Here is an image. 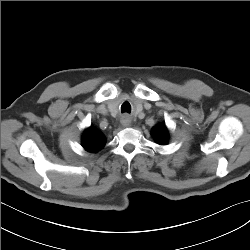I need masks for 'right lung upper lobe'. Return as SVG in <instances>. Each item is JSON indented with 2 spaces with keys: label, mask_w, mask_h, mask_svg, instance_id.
<instances>
[{
  "label": "right lung upper lobe",
  "mask_w": 250,
  "mask_h": 250,
  "mask_svg": "<svg viewBox=\"0 0 250 250\" xmlns=\"http://www.w3.org/2000/svg\"><path fill=\"white\" fill-rule=\"evenodd\" d=\"M82 145L89 152H98L105 145V136L96 129L89 127L83 134Z\"/></svg>",
  "instance_id": "right-lung-upper-lobe-1"
}]
</instances>
